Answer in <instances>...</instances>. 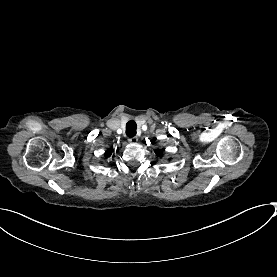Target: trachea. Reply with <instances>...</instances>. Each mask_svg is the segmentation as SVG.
<instances>
[{"mask_svg": "<svg viewBox=\"0 0 277 277\" xmlns=\"http://www.w3.org/2000/svg\"><path fill=\"white\" fill-rule=\"evenodd\" d=\"M137 124L134 120H130L126 124V135L132 138L136 135Z\"/></svg>", "mask_w": 277, "mask_h": 277, "instance_id": "obj_1", "label": "trachea"}]
</instances>
